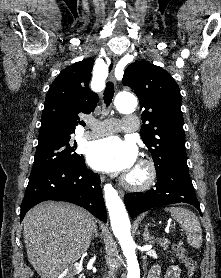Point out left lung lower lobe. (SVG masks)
Here are the masks:
<instances>
[{"mask_svg":"<svg viewBox=\"0 0 221 278\" xmlns=\"http://www.w3.org/2000/svg\"><path fill=\"white\" fill-rule=\"evenodd\" d=\"M126 208L131 216L161 205L188 203L200 211V204L189 176L186 161H174L157 173L154 189L147 192L128 193L124 197Z\"/></svg>","mask_w":221,"mask_h":278,"instance_id":"obj_1","label":"left lung lower lobe"}]
</instances>
